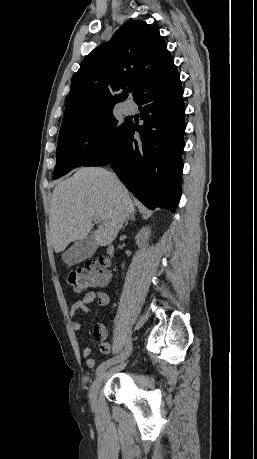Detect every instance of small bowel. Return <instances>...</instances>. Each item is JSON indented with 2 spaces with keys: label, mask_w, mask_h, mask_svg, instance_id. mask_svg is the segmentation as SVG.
Returning a JSON list of instances; mask_svg holds the SVG:
<instances>
[{
  "label": "small bowel",
  "mask_w": 257,
  "mask_h": 459,
  "mask_svg": "<svg viewBox=\"0 0 257 459\" xmlns=\"http://www.w3.org/2000/svg\"><path fill=\"white\" fill-rule=\"evenodd\" d=\"M97 301L99 306L106 308L110 304L109 296L103 291L90 290L85 295L76 300L70 308V316L75 317L81 312H88L89 305ZM72 329L76 332L82 329V324L79 321L72 322ZM93 337L99 345V349L104 354H109L111 351L110 344L108 342V332L104 324L97 323L93 328ZM82 356L85 359V364L89 369H94L96 362L92 355V349L90 346H86L82 350Z\"/></svg>",
  "instance_id": "obj_1"
}]
</instances>
